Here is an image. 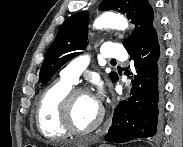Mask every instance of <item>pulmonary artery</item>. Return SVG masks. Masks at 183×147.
Returning <instances> with one entry per match:
<instances>
[{
  "label": "pulmonary artery",
  "instance_id": "pulmonary-artery-1",
  "mask_svg": "<svg viewBox=\"0 0 183 147\" xmlns=\"http://www.w3.org/2000/svg\"><path fill=\"white\" fill-rule=\"evenodd\" d=\"M102 57L108 59H124L126 52L118 43H106L102 45ZM89 57L86 55L73 59L60 73L62 79L75 84L82 71L88 66Z\"/></svg>",
  "mask_w": 183,
  "mask_h": 147
}]
</instances>
